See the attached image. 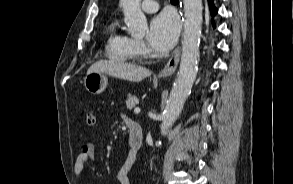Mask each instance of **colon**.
Wrapping results in <instances>:
<instances>
[{
  "label": "colon",
  "mask_w": 293,
  "mask_h": 184,
  "mask_svg": "<svg viewBox=\"0 0 293 184\" xmlns=\"http://www.w3.org/2000/svg\"><path fill=\"white\" fill-rule=\"evenodd\" d=\"M96 123V117L95 114L93 112H88L86 114V124L88 126H94Z\"/></svg>",
  "instance_id": "5ec220e1"
}]
</instances>
